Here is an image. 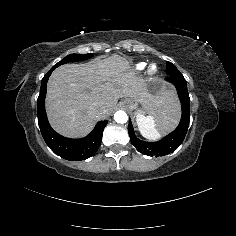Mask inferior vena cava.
<instances>
[{"instance_id":"inferior-vena-cava-1","label":"inferior vena cava","mask_w":236,"mask_h":236,"mask_svg":"<svg viewBox=\"0 0 236 236\" xmlns=\"http://www.w3.org/2000/svg\"><path fill=\"white\" fill-rule=\"evenodd\" d=\"M99 107V105H98V103H93L92 105H91V109H97Z\"/></svg>"}]
</instances>
